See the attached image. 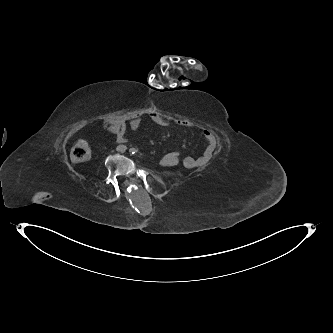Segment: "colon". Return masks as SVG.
I'll use <instances>...</instances> for the list:
<instances>
[{"mask_svg":"<svg viewBox=\"0 0 333 333\" xmlns=\"http://www.w3.org/2000/svg\"><path fill=\"white\" fill-rule=\"evenodd\" d=\"M91 155L92 152L88 143L80 140L72 147L70 157L74 163H81L88 161L91 158ZM179 157L180 154L176 150H173L172 152L163 155L160 158V161L163 164H166L168 161L177 160Z\"/></svg>","mask_w":333,"mask_h":333,"instance_id":"5ec220e1","label":"colon"}]
</instances>
